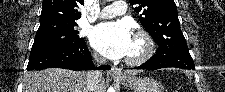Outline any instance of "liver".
<instances>
[{"mask_svg": "<svg viewBox=\"0 0 225 92\" xmlns=\"http://www.w3.org/2000/svg\"><path fill=\"white\" fill-rule=\"evenodd\" d=\"M88 73L57 68L28 72L23 79V92H90ZM127 73L136 75L139 71L132 70ZM104 88L105 79L101 76L97 92H103Z\"/></svg>", "mask_w": 225, "mask_h": 92, "instance_id": "6515ba94", "label": "liver"}]
</instances>
